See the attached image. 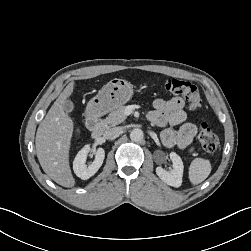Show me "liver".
<instances>
[{
	"mask_svg": "<svg viewBox=\"0 0 251 251\" xmlns=\"http://www.w3.org/2000/svg\"><path fill=\"white\" fill-rule=\"evenodd\" d=\"M73 90L74 82H70L39 124L35 138L36 153L42 169L53 181L67 188L75 185L69 165L74 123L65 113L63 102Z\"/></svg>",
	"mask_w": 251,
	"mask_h": 251,
	"instance_id": "obj_1",
	"label": "liver"
}]
</instances>
